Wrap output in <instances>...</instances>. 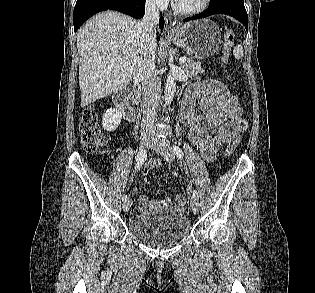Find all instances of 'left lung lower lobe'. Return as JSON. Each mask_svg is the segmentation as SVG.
I'll return each mask as SVG.
<instances>
[{"label":"left lung lower lobe","instance_id":"obj_1","mask_svg":"<svg viewBox=\"0 0 315 293\" xmlns=\"http://www.w3.org/2000/svg\"><path fill=\"white\" fill-rule=\"evenodd\" d=\"M214 14H225L236 18L248 31V15L244 6V0H221L208 7L204 12L184 19L183 22L205 18Z\"/></svg>","mask_w":315,"mask_h":293}]
</instances>
